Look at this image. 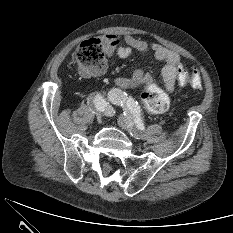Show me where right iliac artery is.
Segmentation results:
<instances>
[{
    "instance_id": "1",
    "label": "right iliac artery",
    "mask_w": 233,
    "mask_h": 233,
    "mask_svg": "<svg viewBox=\"0 0 233 233\" xmlns=\"http://www.w3.org/2000/svg\"><path fill=\"white\" fill-rule=\"evenodd\" d=\"M88 104L95 107L96 110L104 112L106 115H111L113 113L112 108L101 94L92 93L88 97Z\"/></svg>"
}]
</instances>
